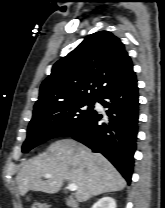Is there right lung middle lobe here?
Segmentation results:
<instances>
[{"label":"right lung middle lobe","mask_w":165,"mask_h":208,"mask_svg":"<svg viewBox=\"0 0 165 208\" xmlns=\"http://www.w3.org/2000/svg\"><path fill=\"white\" fill-rule=\"evenodd\" d=\"M94 103L95 100H72L35 110L22 151L28 152L49 139L74 133L91 116Z\"/></svg>","instance_id":"1"}]
</instances>
